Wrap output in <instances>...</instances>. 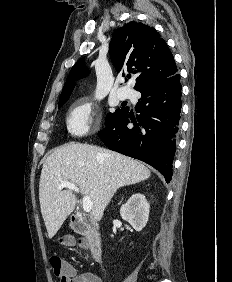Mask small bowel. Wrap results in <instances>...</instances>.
<instances>
[{
	"mask_svg": "<svg viewBox=\"0 0 232 282\" xmlns=\"http://www.w3.org/2000/svg\"><path fill=\"white\" fill-rule=\"evenodd\" d=\"M70 282H102L100 277L93 272H77L72 268Z\"/></svg>",
	"mask_w": 232,
	"mask_h": 282,
	"instance_id": "small-bowel-1",
	"label": "small bowel"
}]
</instances>
